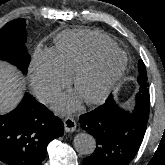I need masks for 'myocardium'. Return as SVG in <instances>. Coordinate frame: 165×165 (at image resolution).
I'll list each match as a JSON object with an SVG mask.
<instances>
[{
	"label": "myocardium",
	"instance_id": "myocardium-1",
	"mask_svg": "<svg viewBox=\"0 0 165 165\" xmlns=\"http://www.w3.org/2000/svg\"><path fill=\"white\" fill-rule=\"evenodd\" d=\"M107 55H119L122 58L120 66L107 78L99 91L89 98L83 99L87 105H95L104 101L111 93L115 85L123 76L127 67L126 54L117 46L113 48L99 49L93 52L86 60H84L72 73V85L76 90L81 77L89 72L98 61Z\"/></svg>",
	"mask_w": 165,
	"mask_h": 165
}]
</instances>
